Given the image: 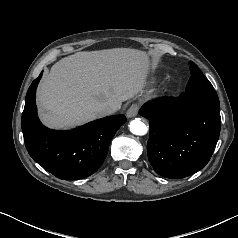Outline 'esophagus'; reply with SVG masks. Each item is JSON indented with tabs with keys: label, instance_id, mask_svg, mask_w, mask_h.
<instances>
[{
	"label": "esophagus",
	"instance_id": "obj_1",
	"mask_svg": "<svg viewBox=\"0 0 238 238\" xmlns=\"http://www.w3.org/2000/svg\"><path fill=\"white\" fill-rule=\"evenodd\" d=\"M139 111V105L138 104H132L129 109L126 112V115L128 118L135 117L138 114Z\"/></svg>",
	"mask_w": 238,
	"mask_h": 238
}]
</instances>
